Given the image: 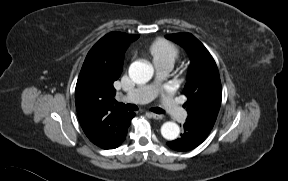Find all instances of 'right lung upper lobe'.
<instances>
[{
  "label": "right lung upper lobe",
  "instance_id": "cb5924a9",
  "mask_svg": "<svg viewBox=\"0 0 288 181\" xmlns=\"http://www.w3.org/2000/svg\"><path fill=\"white\" fill-rule=\"evenodd\" d=\"M139 35L111 32L89 51L79 74L75 103L81 127L91 142L104 149L120 145L131 112L115 105L113 87L121 75L128 44Z\"/></svg>",
  "mask_w": 288,
  "mask_h": 181
}]
</instances>
